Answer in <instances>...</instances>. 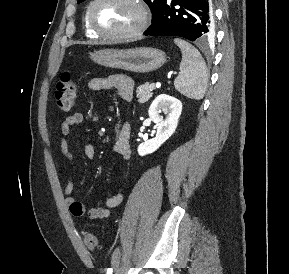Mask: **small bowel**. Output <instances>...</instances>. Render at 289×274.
<instances>
[{"instance_id":"obj_1","label":"small bowel","mask_w":289,"mask_h":274,"mask_svg":"<svg viewBox=\"0 0 289 274\" xmlns=\"http://www.w3.org/2000/svg\"><path fill=\"white\" fill-rule=\"evenodd\" d=\"M88 88L93 91L98 90H116L120 98L125 102H130L133 92V81L123 75H115L109 77L93 78L88 82ZM84 117L82 113L76 112L65 118L61 124V143L60 148L63 156L69 161L74 162V156L70 151V146L67 137L71 135L72 128L75 125L82 123ZM131 126L129 123H124L118 133V137L114 144V152L118 154L124 161L131 157L129 145ZM83 153L86 158L92 159L95 156L96 148L91 142H87L83 146ZM64 193L66 203L69 206L71 213L76 217H87L92 220L104 219L110 216L111 210L123 200V191L118 189L116 193L106 199L104 206L87 208L86 205L78 201L74 196V183L69 179L65 185Z\"/></svg>"}]
</instances>
